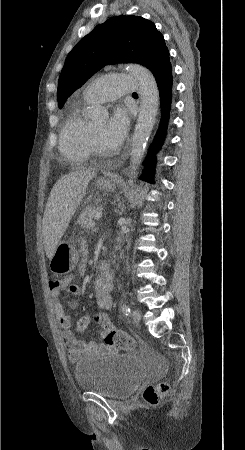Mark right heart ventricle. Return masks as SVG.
<instances>
[{
	"label": "right heart ventricle",
	"mask_w": 245,
	"mask_h": 450,
	"mask_svg": "<svg viewBox=\"0 0 245 450\" xmlns=\"http://www.w3.org/2000/svg\"><path fill=\"white\" fill-rule=\"evenodd\" d=\"M92 103L84 96L70 111L59 137V149L61 153L78 162L86 161L91 153L88 136V128L91 122L84 115V104Z\"/></svg>",
	"instance_id": "obj_1"
}]
</instances>
